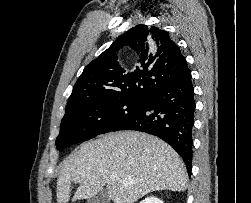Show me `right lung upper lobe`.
<instances>
[{
    "label": "right lung upper lobe",
    "mask_w": 251,
    "mask_h": 203,
    "mask_svg": "<svg viewBox=\"0 0 251 203\" xmlns=\"http://www.w3.org/2000/svg\"><path fill=\"white\" fill-rule=\"evenodd\" d=\"M148 35L156 41L155 51H149ZM125 45L139 56V66L133 72L125 71L117 61L116 53ZM187 70L185 58L166 31L137 25L84 68L67 106L104 99L144 101L153 91L179 79Z\"/></svg>",
    "instance_id": "1"
}]
</instances>
